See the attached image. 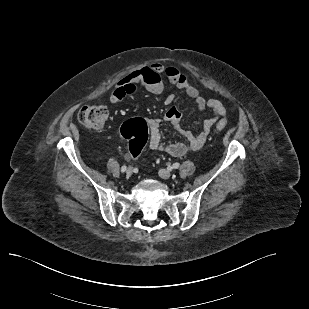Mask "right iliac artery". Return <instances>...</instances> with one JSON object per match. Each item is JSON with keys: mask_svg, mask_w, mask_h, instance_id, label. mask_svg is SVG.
<instances>
[{"mask_svg": "<svg viewBox=\"0 0 309 309\" xmlns=\"http://www.w3.org/2000/svg\"><path fill=\"white\" fill-rule=\"evenodd\" d=\"M126 169H127V167H126V166H122V167H121V171H122V172H125V171H126Z\"/></svg>", "mask_w": 309, "mask_h": 309, "instance_id": "82829eb1", "label": "right iliac artery"}]
</instances>
